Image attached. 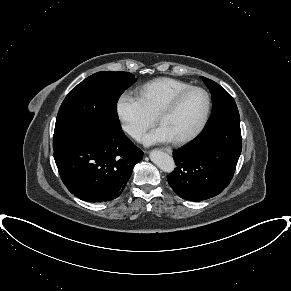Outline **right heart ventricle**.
Listing matches in <instances>:
<instances>
[{"label":"right heart ventricle","instance_id":"right-heart-ventricle-1","mask_svg":"<svg viewBox=\"0 0 291 291\" xmlns=\"http://www.w3.org/2000/svg\"><path fill=\"white\" fill-rule=\"evenodd\" d=\"M190 86L185 81L160 77L139 86L137 94L148 112L155 117L172 96Z\"/></svg>","mask_w":291,"mask_h":291}]
</instances>
